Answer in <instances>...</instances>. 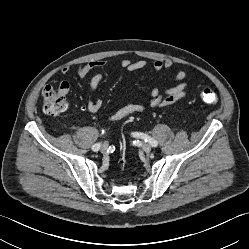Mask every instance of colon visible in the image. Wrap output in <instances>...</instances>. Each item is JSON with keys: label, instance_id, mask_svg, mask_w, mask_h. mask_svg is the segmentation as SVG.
<instances>
[{"label": "colon", "instance_id": "obj_1", "mask_svg": "<svg viewBox=\"0 0 249 249\" xmlns=\"http://www.w3.org/2000/svg\"><path fill=\"white\" fill-rule=\"evenodd\" d=\"M43 110L48 115H59L67 109V101L63 95L55 91L53 87L46 86L42 91ZM201 99L210 105H215L218 102L216 93L204 88L200 93Z\"/></svg>", "mask_w": 249, "mask_h": 249}]
</instances>
